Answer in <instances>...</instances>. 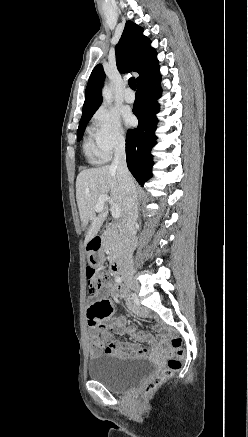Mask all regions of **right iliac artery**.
Listing matches in <instances>:
<instances>
[{"instance_id": "right-iliac-artery-1", "label": "right iliac artery", "mask_w": 248, "mask_h": 437, "mask_svg": "<svg viewBox=\"0 0 248 437\" xmlns=\"http://www.w3.org/2000/svg\"><path fill=\"white\" fill-rule=\"evenodd\" d=\"M116 282L121 283L123 281V279L121 277H116Z\"/></svg>"}]
</instances>
